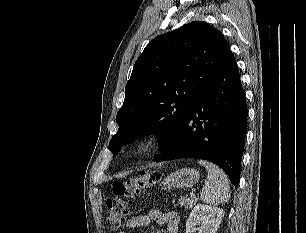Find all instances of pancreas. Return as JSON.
Wrapping results in <instances>:
<instances>
[{
	"label": "pancreas",
	"mask_w": 306,
	"mask_h": 233,
	"mask_svg": "<svg viewBox=\"0 0 306 233\" xmlns=\"http://www.w3.org/2000/svg\"><path fill=\"white\" fill-rule=\"evenodd\" d=\"M179 204L181 207H185L186 209L187 208H192L197 202H198V198H187V197H181L179 200H178Z\"/></svg>",
	"instance_id": "1"
}]
</instances>
